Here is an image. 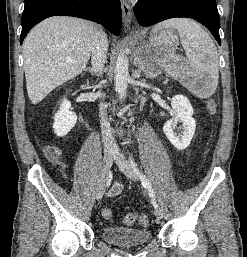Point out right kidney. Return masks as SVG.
Wrapping results in <instances>:
<instances>
[{"label":"right kidney","mask_w":247,"mask_h":257,"mask_svg":"<svg viewBox=\"0 0 247 257\" xmlns=\"http://www.w3.org/2000/svg\"><path fill=\"white\" fill-rule=\"evenodd\" d=\"M71 103L63 99L59 111L54 116L53 129L58 137H63L75 126L77 115L70 111Z\"/></svg>","instance_id":"right-kidney-1"}]
</instances>
